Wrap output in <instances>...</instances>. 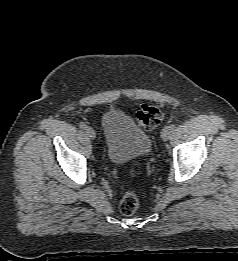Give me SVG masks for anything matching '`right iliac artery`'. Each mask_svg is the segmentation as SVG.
<instances>
[{
    "instance_id": "right-iliac-artery-1",
    "label": "right iliac artery",
    "mask_w": 238,
    "mask_h": 261,
    "mask_svg": "<svg viewBox=\"0 0 238 261\" xmlns=\"http://www.w3.org/2000/svg\"><path fill=\"white\" fill-rule=\"evenodd\" d=\"M79 127L81 128V129H86V124L84 123V122H81L80 124H79Z\"/></svg>"
}]
</instances>
